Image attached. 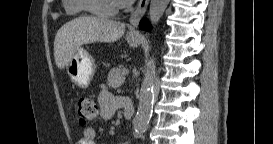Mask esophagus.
Masks as SVG:
<instances>
[{
	"label": "esophagus",
	"mask_w": 273,
	"mask_h": 144,
	"mask_svg": "<svg viewBox=\"0 0 273 144\" xmlns=\"http://www.w3.org/2000/svg\"><path fill=\"white\" fill-rule=\"evenodd\" d=\"M149 4V0H140L135 11L132 13L130 17V34H136V28L139 24L140 19L143 17L147 10V6Z\"/></svg>",
	"instance_id": "esophagus-1"
}]
</instances>
